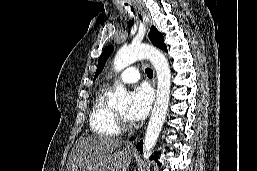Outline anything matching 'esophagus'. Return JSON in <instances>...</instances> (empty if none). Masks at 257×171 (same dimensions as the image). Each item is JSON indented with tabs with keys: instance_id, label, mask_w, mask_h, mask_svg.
<instances>
[{
	"instance_id": "esophagus-1",
	"label": "esophagus",
	"mask_w": 257,
	"mask_h": 171,
	"mask_svg": "<svg viewBox=\"0 0 257 171\" xmlns=\"http://www.w3.org/2000/svg\"><path fill=\"white\" fill-rule=\"evenodd\" d=\"M135 7L138 9V11H139V12L141 13V15L143 16L144 21L147 23V22H148V18H147V16H146V14L143 12L142 7H141L138 3L135 4ZM155 85H156V77L154 78V86H155ZM134 148H135L134 143H129V144L126 146V149H128V150H134Z\"/></svg>"
}]
</instances>
